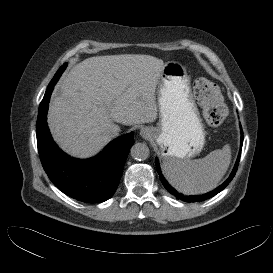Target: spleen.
<instances>
[{
	"label": "spleen",
	"mask_w": 273,
	"mask_h": 273,
	"mask_svg": "<svg viewBox=\"0 0 273 273\" xmlns=\"http://www.w3.org/2000/svg\"><path fill=\"white\" fill-rule=\"evenodd\" d=\"M231 162L229 144L195 160L164 159L163 169L169 182L184 194H203L213 190Z\"/></svg>",
	"instance_id": "1"
}]
</instances>
